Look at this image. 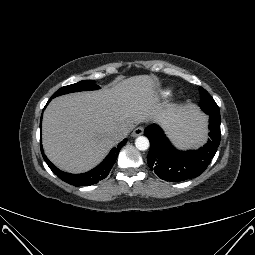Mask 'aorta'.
Masks as SVG:
<instances>
[{
  "label": "aorta",
  "instance_id": "762f6f07",
  "mask_svg": "<svg viewBox=\"0 0 255 255\" xmlns=\"http://www.w3.org/2000/svg\"><path fill=\"white\" fill-rule=\"evenodd\" d=\"M135 146L140 151H145L149 148L150 142L147 137L139 136L135 140Z\"/></svg>",
  "mask_w": 255,
  "mask_h": 255
}]
</instances>
